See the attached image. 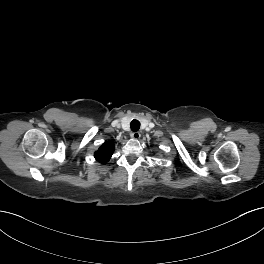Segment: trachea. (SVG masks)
I'll use <instances>...</instances> for the list:
<instances>
[{"mask_svg": "<svg viewBox=\"0 0 264 264\" xmlns=\"http://www.w3.org/2000/svg\"><path fill=\"white\" fill-rule=\"evenodd\" d=\"M130 127L132 131H138L140 128V122L136 119L132 120L130 123Z\"/></svg>", "mask_w": 264, "mask_h": 264, "instance_id": "1", "label": "trachea"}]
</instances>
